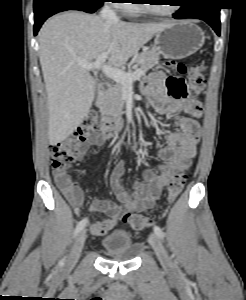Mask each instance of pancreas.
Instances as JSON below:
<instances>
[{"instance_id": "cf45deb5", "label": "pancreas", "mask_w": 246, "mask_h": 300, "mask_svg": "<svg viewBox=\"0 0 246 300\" xmlns=\"http://www.w3.org/2000/svg\"><path fill=\"white\" fill-rule=\"evenodd\" d=\"M159 54L154 50L142 52L136 57V64L139 68L131 67L128 73H132L138 69L142 71V76L146 72L158 64ZM125 86L119 82L108 88L99 100V108L102 115L117 118L123 114L124 98L123 91Z\"/></svg>"}]
</instances>
